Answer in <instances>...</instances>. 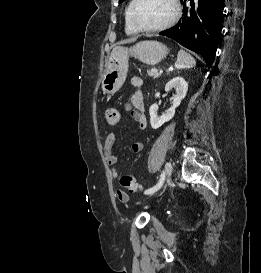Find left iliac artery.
<instances>
[{"label": "left iliac artery", "mask_w": 261, "mask_h": 273, "mask_svg": "<svg viewBox=\"0 0 261 273\" xmlns=\"http://www.w3.org/2000/svg\"><path fill=\"white\" fill-rule=\"evenodd\" d=\"M163 179H164V172H163V174H161V178H160L159 182L154 187L146 189L144 193L151 194V193H154L155 191H157L158 189H160L162 186Z\"/></svg>", "instance_id": "obj_1"}]
</instances>
